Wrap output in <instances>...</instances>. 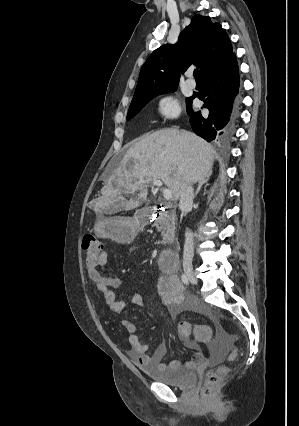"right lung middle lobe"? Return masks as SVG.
Returning a JSON list of instances; mask_svg holds the SVG:
<instances>
[{"label":"right lung middle lobe","instance_id":"right-lung-middle-lobe-1","mask_svg":"<svg viewBox=\"0 0 299 426\" xmlns=\"http://www.w3.org/2000/svg\"><path fill=\"white\" fill-rule=\"evenodd\" d=\"M177 87H173V88H169L160 92H154V93H149L146 95H143L139 98L133 99L131 101L130 107H129V111L127 114V120H130L131 118H133L137 113H139L141 111V109L150 101L152 100L154 97L160 95V94H164V93H170V92H174L176 90ZM190 98H187V103L189 102Z\"/></svg>","mask_w":299,"mask_h":426}]
</instances>
